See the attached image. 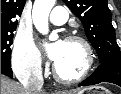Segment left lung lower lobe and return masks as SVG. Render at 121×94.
I'll list each match as a JSON object with an SVG mask.
<instances>
[{"label":"left lung lower lobe","mask_w":121,"mask_h":94,"mask_svg":"<svg viewBox=\"0 0 121 94\" xmlns=\"http://www.w3.org/2000/svg\"><path fill=\"white\" fill-rule=\"evenodd\" d=\"M100 82H110L121 86V62L101 63L98 68L78 86L95 85Z\"/></svg>","instance_id":"left-lung-lower-lobe-1"}]
</instances>
